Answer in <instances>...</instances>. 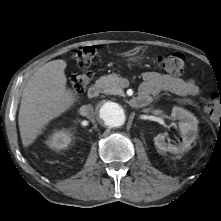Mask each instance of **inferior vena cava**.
Listing matches in <instances>:
<instances>
[{
	"instance_id": "1",
	"label": "inferior vena cava",
	"mask_w": 221,
	"mask_h": 221,
	"mask_svg": "<svg viewBox=\"0 0 221 221\" xmlns=\"http://www.w3.org/2000/svg\"><path fill=\"white\" fill-rule=\"evenodd\" d=\"M84 115L89 118L91 121H94V109L92 107V105L88 104L85 106L84 108Z\"/></svg>"
}]
</instances>
